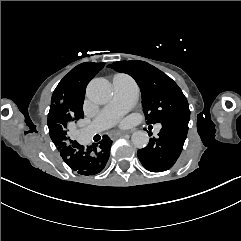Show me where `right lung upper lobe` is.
I'll list each match as a JSON object with an SVG mask.
<instances>
[{
  "instance_id": "1",
  "label": "right lung upper lobe",
  "mask_w": 241,
  "mask_h": 241,
  "mask_svg": "<svg viewBox=\"0 0 241 241\" xmlns=\"http://www.w3.org/2000/svg\"><path fill=\"white\" fill-rule=\"evenodd\" d=\"M72 124L52 115H48L49 135L57 148L73 142L69 129Z\"/></svg>"
}]
</instances>
